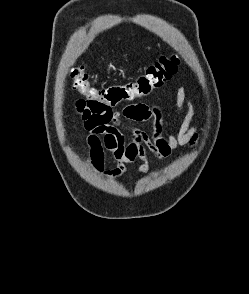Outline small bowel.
Segmentation results:
<instances>
[{
  "mask_svg": "<svg viewBox=\"0 0 249 294\" xmlns=\"http://www.w3.org/2000/svg\"><path fill=\"white\" fill-rule=\"evenodd\" d=\"M186 106V114L179 122ZM77 110L88 130L86 136L87 164L106 180H118L127 173L126 165L140 161L137 175L149 172L148 153L159 162L170 158L183 146L194 147L198 140L200 112L183 87L176 93L175 110L168 132L158 105L122 103L118 107L93 106L85 100L77 102ZM151 123L147 134L141 124ZM106 154L112 166L106 165Z\"/></svg>",
  "mask_w": 249,
  "mask_h": 294,
  "instance_id": "1",
  "label": "small bowel"
}]
</instances>
